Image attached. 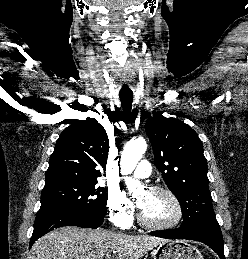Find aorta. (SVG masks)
I'll list each match as a JSON object with an SVG mask.
<instances>
[{
  "label": "aorta",
  "instance_id": "1",
  "mask_svg": "<svg viewBox=\"0 0 248 259\" xmlns=\"http://www.w3.org/2000/svg\"><path fill=\"white\" fill-rule=\"evenodd\" d=\"M146 149L147 143L142 137L132 140L125 145L120 160L123 174H129L135 169ZM126 185L131 193H135L141 188V183L133 178H127Z\"/></svg>",
  "mask_w": 248,
  "mask_h": 259
}]
</instances>
